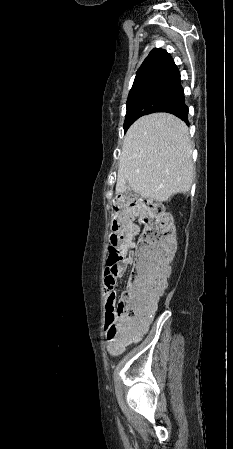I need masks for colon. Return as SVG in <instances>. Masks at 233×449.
Instances as JSON below:
<instances>
[{
  "instance_id": "5ec220e1",
  "label": "colon",
  "mask_w": 233,
  "mask_h": 449,
  "mask_svg": "<svg viewBox=\"0 0 233 449\" xmlns=\"http://www.w3.org/2000/svg\"><path fill=\"white\" fill-rule=\"evenodd\" d=\"M108 264L132 257L135 219L142 225L129 285L123 300L106 315V335L113 352L135 340L137 330L155 310L170 273L175 239L164 205L136 194H122L114 202ZM133 259V257H132Z\"/></svg>"
}]
</instances>
